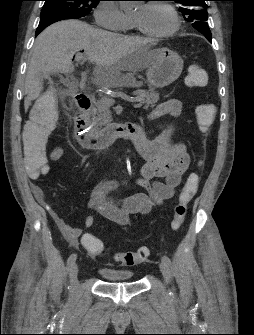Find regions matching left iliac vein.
<instances>
[{"instance_id":"obj_1","label":"left iliac vein","mask_w":254,"mask_h":335,"mask_svg":"<svg viewBox=\"0 0 254 335\" xmlns=\"http://www.w3.org/2000/svg\"><path fill=\"white\" fill-rule=\"evenodd\" d=\"M160 271L164 277L165 283L168 284L170 282V272L169 267L166 263L163 261L159 264Z\"/></svg>"}]
</instances>
